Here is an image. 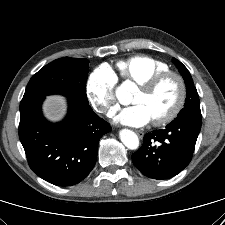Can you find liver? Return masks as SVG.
<instances>
[{
  "label": "liver",
  "mask_w": 225,
  "mask_h": 225,
  "mask_svg": "<svg viewBox=\"0 0 225 225\" xmlns=\"http://www.w3.org/2000/svg\"><path fill=\"white\" fill-rule=\"evenodd\" d=\"M45 116L55 122L63 118L66 113L65 97L61 95H50L43 104Z\"/></svg>",
  "instance_id": "obj_1"
}]
</instances>
